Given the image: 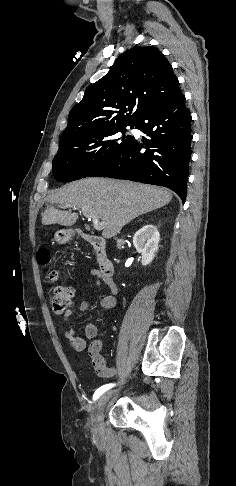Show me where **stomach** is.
<instances>
[{
    "label": "stomach",
    "mask_w": 236,
    "mask_h": 486,
    "mask_svg": "<svg viewBox=\"0 0 236 486\" xmlns=\"http://www.w3.org/2000/svg\"><path fill=\"white\" fill-rule=\"evenodd\" d=\"M74 236V231L71 229H61L55 232L54 239L58 244L69 243Z\"/></svg>",
    "instance_id": "0dacf381"
}]
</instances>
